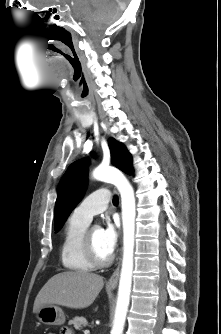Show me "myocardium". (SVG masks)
I'll return each instance as SVG.
<instances>
[{"mask_svg": "<svg viewBox=\"0 0 221 334\" xmlns=\"http://www.w3.org/2000/svg\"><path fill=\"white\" fill-rule=\"evenodd\" d=\"M93 227L87 228L83 235V250L88 258V260L95 266V267H106L109 266L113 259L114 254L110 253L107 257H101L95 248L92 236H91V230Z\"/></svg>", "mask_w": 221, "mask_h": 334, "instance_id": "1", "label": "myocardium"}]
</instances>
